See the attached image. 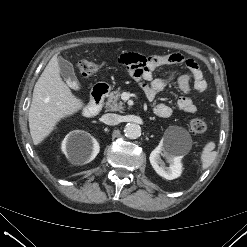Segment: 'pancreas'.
<instances>
[{
  "mask_svg": "<svg viewBox=\"0 0 247 247\" xmlns=\"http://www.w3.org/2000/svg\"><path fill=\"white\" fill-rule=\"evenodd\" d=\"M121 91L118 88L115 91L110 92L108 95L107 102L105 103V107L111 111H122L124 109L123 102L120 99Z\"/></svg>",
  "mask_w": 247,
  "mask_h": 247,
  "instance_id": "pancreas-1",
  "label": "pancreas"
}]
</instances>
